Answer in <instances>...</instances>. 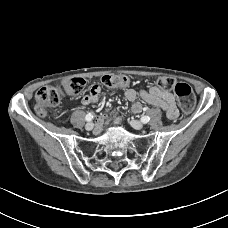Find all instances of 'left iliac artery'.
Segmentation results:
<instances>
[{"label": "left iliac artery", "mask_w": 228, "mask_h": 228, "mask_svg": "<svg viewBox=\"0 0 228 228\" xmlns=\"http://www.w3.org/2000/svg\"><path fill=\"white\" fill-rule=\"evenodd\" d=\"M150 121V117L149 116H143L141 117V122L146 124Z\"/></svg>", "instance_id": "left-iliac-artery-1"}]
</instances>
